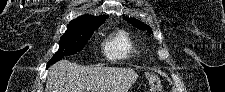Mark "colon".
Returning a JSON list of instances; mask_svg holds the SVG:
<instances>
[{
	"mask_svg": "<svg viewBox=\"0 0 225 92\" xmlns=\"http://www.w3.org/2000/svg\"><path fill=\"white\" fill-rule=\"evenodd\" d=\"M149 85H150V91L151 92H162V85L161 81L158 77L149 74L147 76Z\"/></svg>",
	"mask_w": 225,
	"mask_h": 92,
	"instance_id": "5ec220e1",
	"label": "colon"
}]
</instances>
